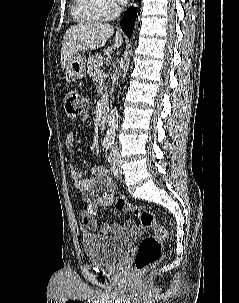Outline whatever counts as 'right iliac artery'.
<instances>
[{
    "instance_id": "obj_1",
    "label": "right iliac artery",
    "mask_w": 239,
    "mask_h": 303,
    "mask_svg": "<svg viewBox=\"0 0 239 303\" xmlns=\"http://www.w3.org/2000/svg\"><path fill=\"white\" fill-rule=\"evenodd\" d=\"M111 142H109V141H104L103 142V149L105 150V151H107L109 148H110V146H111Z\"/></svg>"
}]
</instances>
